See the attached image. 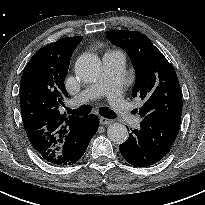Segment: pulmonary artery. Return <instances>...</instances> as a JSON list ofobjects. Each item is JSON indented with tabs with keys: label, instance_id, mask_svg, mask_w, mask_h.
I'll return each mask as SVG.
<instances>
[{
	"label": "pulmonary artery",
	"instance_id": "1",
	"mask_svg": "<svg viewBox=\"0 0 205 205\" xmlns=\"http://www.w3.org/2000/svg\"><path fill=\"white\" fill-rule=\"evenodd\" d=\"M102 62L103 71L99 78L73 100V105L78 102H89L102 95H107L109 102L122 121L138 128L140 118L130 112L129 103L122 96L125 72L124 54L119 51L108 52L104 54Z\"/></svg>",
	"mask_w": 205,
	"mask_h": 205
}]
</instances>
